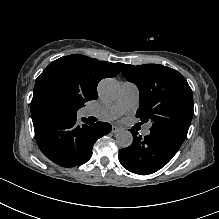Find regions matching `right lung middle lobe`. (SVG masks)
Instances as JSON below:
<instances>
[{
    "instance_id": "dd1d6c3e",
    "label": "right lung middle lobe",
    "mask_w": 219,
    "mask_h": 219,
    "mask_svg": "<svg viewBox=\"0 0 219 219\" xmlns=\"http://www.w3.org/2000/svg\"><path fill=\"white\" fill-rule=\"evenodd\" d=\"M83 107L80 101L69 90L60 86L47 87L38 99V110L54 112L63 116L76 115Z\"/></svg>"
}]
</instances>
